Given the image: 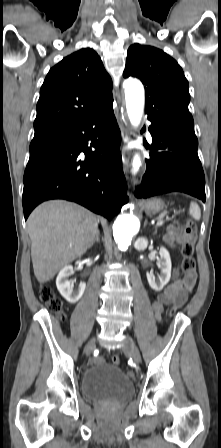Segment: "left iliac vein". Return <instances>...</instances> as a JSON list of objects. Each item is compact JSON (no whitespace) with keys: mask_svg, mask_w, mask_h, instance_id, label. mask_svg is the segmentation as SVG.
Here are the masks:
<instances>
[{"mask_svg":"<svg viewBox=\"0 0 221 448\" xmlns=\"http://www.w3.org/2000/svg\"><path fill=\"white\" fill-rule=\"evenodd\" d=\"M122 350L125 353L130 354L135 363L137 364L140 363L141 361L140 351L129 338H126L125 341L123 342Z\"/></svg>","mask_w":221,"mask_h":448,"instance_id":"4c4485c4","label":"left iliac vein"}]
</instances>
